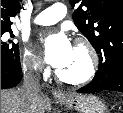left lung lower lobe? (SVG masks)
Masks as SVG:
<instances>
[{
	"instance_id": "0a47b994",
	"label": "left lung lower lobe",
	"mask_w": 123,
	"mask_h": 113,
	"mask_svg": "<svg viewBox=\"0 0 123 113\" xmlns=\"http://www.w3.org/2000/svg\"><path fill=\"white\" fill-rule=\"evenodd\" d=\"M103 90L123 92V62L115 64L113 74L104 77L98 71L94 79L86 86L77 90L79 93H95Z\"/></svg>"
}]
</instances>
